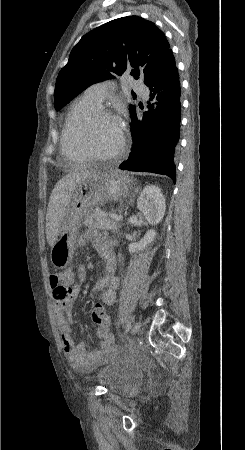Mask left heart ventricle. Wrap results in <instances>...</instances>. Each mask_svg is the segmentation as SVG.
Wrapping results in <instances>:
<instances>
[{"label":"left heart ventricle","instance_id":"b2bd125f","mask_svg":"<svg viewBox=\"0 0 245 450\" xmlns=\"http://www.w3.org/2000/svg\"><path fill=\"white\" fill-rule=\"evenodd\" d=\"M84 131V125L79 127ZM91 141L94 149L100 154H109L115 151L121 142V126L113 120L98 122L92 132Z\"/></svg>","mask_w":245,"mask_h":450}]
</instances>
